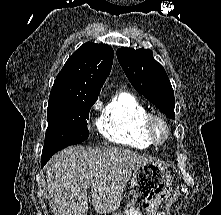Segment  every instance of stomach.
<instances>
[{
  "label": "stomach",
  "instance_id": "obj_1",
  "mask_svg": "<svg viewBox=\"0 0 221 215\" xmlns=\"http://www.w3.org/2000/svg\"><path fill=\"white\" fill-rule=\"evenodd\" d=\"M172 176L159 162L148 161L136 167L131 177L132 200L123 213L114 215H155L156 208L170 194Z\"/></svg>",
  "mask_w": 221,
  "mask_h": 215
}]
</instances>
